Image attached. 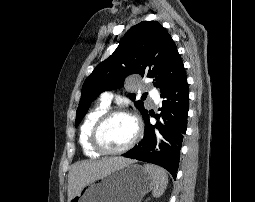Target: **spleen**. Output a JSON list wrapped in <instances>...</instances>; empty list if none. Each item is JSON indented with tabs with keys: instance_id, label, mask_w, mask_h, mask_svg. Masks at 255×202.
Returning <instances> with one entry per match:
<instances>
[{
	"instance_id": "obj_1",
	"label": "spleen",
	"mask_w": 255,
	"mask_h": 202,
	"mask_svg": "<svg viewBox=\"0 0 255 202\" xmlns=\"http://www.w3.org/2000/svg\"><path fill=\"white\" fill-rule=\"evenodd\" d=\"M144 168L152 176L153 180L152 195L154 197H160L164 193L168 184V176L166 171L158 166L150 164H146Z\"/></svg>"
}]
</instances>
